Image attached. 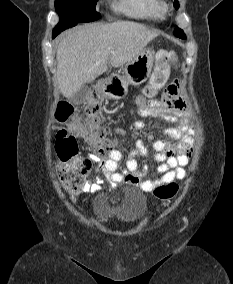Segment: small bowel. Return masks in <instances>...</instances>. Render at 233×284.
<instances>
[{"label": "small bowel", "mask_w": 233, "mask_h": 284, "mask_svg": "<svg viewBox=\"0 0 233 284\" xmlns=\"http://www.w3.org/2000/svg\"><path fill=\"white\" fill-rule=\"evenodd\" d=\"M137 113L142 117L163 118L178 124L176 127L165 130V135L178 140L177 143L156 140L152 144L155 151L154 159L159 163L153 173L154 179H142L148 171V166L140 167L136 157L147 154L148 150L138 140L136 148L130 153L123 169L120 168L123 154L119 150H113L103 159L97 155H90L89 159L97 163V169L103 174V177L86 182L80 189L81 192L101 190L104 180L112 186L126 182L130 185H137L146 192H151L157 186L181 180L186 176L185 167L193 153V130L188 121V103L182 94L181 82L175 80L170 83L158 100L138 101ZM133 127L143 129L145 124L136 120ZM77 132L81 137L86 136V130L81 126L77 127ZM115 133L122 136L126 134L124 130L119 128L115 129ZM149 139L153 140L151 136Z\"/></svg>", "instance_id": "small-bowel-1"}]
</instances>
